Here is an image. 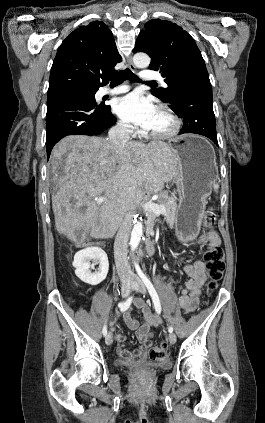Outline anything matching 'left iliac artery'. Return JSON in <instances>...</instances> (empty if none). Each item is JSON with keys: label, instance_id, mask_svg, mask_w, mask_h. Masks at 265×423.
I'll use <instances>...</instances> for the list:
<instances>
[{"label": "left iliac artery", "instance_id": "44dca946", "mask_svg": "<svg viewBox=\"0 0 265 423\" xmlns=\"http://www.w3.org/2000/svg\"><path fill=\"white\" fill-rule=\"evenodd\" d=\"M136 271L138 272L140 278L142 279V281L144 282L145 286L147 287L150 296L152 298V301L154 303V307L157 313L160 314L161 312V304H160V299L159 296L153 286V284L151 283V281L147 278V276L142 272V270L140 269L139 265H136ZM168 331L170 333L173 332V328L171 326H169Z\"/></svg>", "mask_w": 265, "mask_h": 423}]
</instances>
